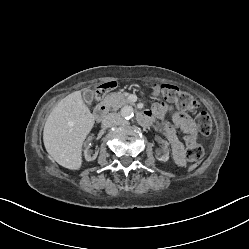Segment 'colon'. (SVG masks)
Wrapping results in <instances>:
<instances>
[{
	"label": "colon",
	"mask_w": 249,
	"mask_h": 249,
	"mask_svg": "<svg viewBox=\"0 0 249 249\" xmlns=\"http://www.w3.org/2000/svg\"><path fill=\"white\" fill-rule=\"evenodd\" d=\"M116 82L110 81L102 84L96 94V99L103 98L106 92L116 87ZM155 96L164 97L169 102L175 103L181 107L193 109L196 107V100L186 91L180 90L178 87L170 84H149ZM194 123L198 132L202 135H209L212 131L213 122L211 116L205 112H199L194 119ZM196 134L187 133L184 135L186 142V158L191 163H198L204 157V149L196 143Z\"/></svg>",
	"instance_id": "obj_1"
}]
</instances>
